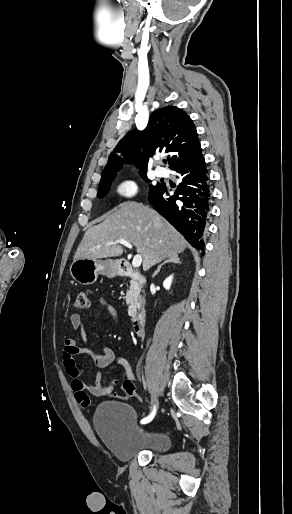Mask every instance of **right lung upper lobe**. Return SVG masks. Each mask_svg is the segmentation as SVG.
Instances as JSON below:
<instances>
[{
	"label": "right lung upper lobe",
	"instance_id": "obj_1",
	"mask_svg": "<svg viewBox=\"0 0 292 514\" xmlns=\"http://www.w3.org/2000/svg\"><path fill=\"white\" fill-rule=\"evenodd\" d=\"M145 150L140 154L139 146ZM170 153L169 168L174 169L202 152L193 121L182 109L166 106L154 111L145 130L134 129L126 134L109 156L101 181L115 178L124 163H132L146 173L148 156Z\"/></svg>",
	"mask_w": 292,
	"mask_h": 514
}]
</instances>
